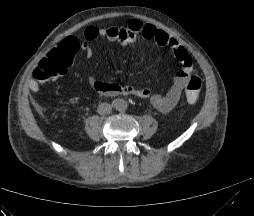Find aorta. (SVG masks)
<instances>
[{
	"instance_id": "762f6f07",
	"label": "aorta",
	"mask_w": 254,
	"mask_h": 216,
	"mask_svg": "<svg viewBox=\"0 0 254 216\" xmlns=\"http://www.w3.org/2000/svg\"><path fill=\"white\" fill-rule=\"evenodd\" d=\"M114 107H115L118 111H124V110L127 109L128 103H127L126 100L118 98V99H116V100L114 101Z\"/></svg>"
}]
</instances>
